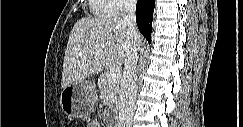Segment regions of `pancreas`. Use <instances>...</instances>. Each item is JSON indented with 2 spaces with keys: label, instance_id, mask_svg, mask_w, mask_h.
I'll return each mask as SVG.
<instances>
[{
  "label": "pancreas",
  "instance_id": "cf45deb5",
  "mask_svg": "<svg viewBox=\"0 0 243 127\" xmlns=\"http://www.w3.org/2000/svg\"><path fill=\"white\" fill-rule=\"evenodd\" d=\"M107 73L102 74L98 79V88L101 92L103 103L106 109H113L117 106L119 81H107Z\"/></svg>",
  "mask_w": 243,
  "mask_h": 127
}]
</instances>
